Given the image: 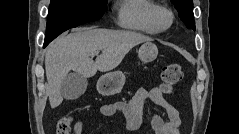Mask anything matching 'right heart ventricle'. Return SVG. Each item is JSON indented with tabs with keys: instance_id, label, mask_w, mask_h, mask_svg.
<instances>
[{
	"instance_id": "obj_1",
	"label": "right heart ventricle",
	"mask_w": 239,
	"mask_h": 134,
	"mask_svg": "<svg viewBox=\"0 0 239 134\" xmlns=\"http://www.w3.org/2000/svg\"><path fill=\"white\" fill-rule=\"evenodd\" d=\"M157 6V3L151 0L120 1L117 22L124 29L157 34L158 31L151 21V13Z\"/></svg>"
}]
</instances>
